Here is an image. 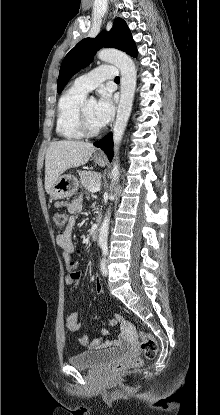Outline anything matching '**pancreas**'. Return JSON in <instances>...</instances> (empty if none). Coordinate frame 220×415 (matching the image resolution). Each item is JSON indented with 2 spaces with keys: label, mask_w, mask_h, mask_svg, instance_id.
Returning <instances> with one entry per match:
<instances>
[{
  "label": "pancreas",
  "mask_w": 220,
  "mask_h": 415,
  "mask_svg": "<svg viewBox=\"0 0 220 415\" xmlns=\"http://www.w3.org/2000/svg\"><path fill=\"white\" fill-rule=\"evenodd\" d=\"M81 184L86 190H90L93 186L100 184L101 175L91 171L79 172Z\"/></svg>",
  "instance_id": "obj_1"
}]
</instances>
